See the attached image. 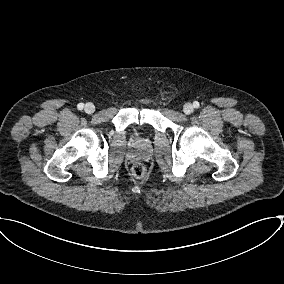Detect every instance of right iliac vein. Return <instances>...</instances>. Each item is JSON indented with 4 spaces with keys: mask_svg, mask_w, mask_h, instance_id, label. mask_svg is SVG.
Masks as SVG:
<instances>
[{
    "mask_svg": "<svg viewBox=\"0 0 284 284\" xmlns=\"http://www.w3.org/2000/svg\"><path fill=\"white\" fill-rule=\"evenodd\" d=\"M84 110H85L86 113L92 114L95 111V106L92 103H87L84 107Z\"/></svg>",
    "mask_w": 284,
    "mask_h": 284,
    "instance_id": "obj_1",
    "label": "right iliac vein"
}]
</instances>
